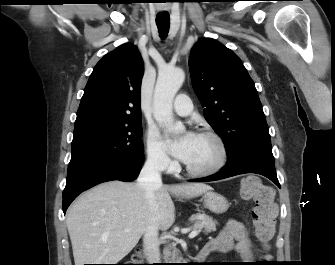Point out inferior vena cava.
<instances>
[{
  "instance_id": "602c4592",
  "label": "inferior vena cava",
  "mask_w": 335,
  "mask_h": 265,
  "mask_svg": "<svg viewBox=\"0 0 335 265\" xmlns=\"http://www.w3.org/2000/svg\"><path fill=\"white\" fill-rule=\"evenodd\" d=\"M163 166L164 165L158 156L149 157L137 179L138 186L145 191V195L151 209L155 206V189L162 186L161 169ZM159 244L158 226L152 219L146 227L143 236L144 252L150 263H159Z\"/></svg>"
}]
</instances>
